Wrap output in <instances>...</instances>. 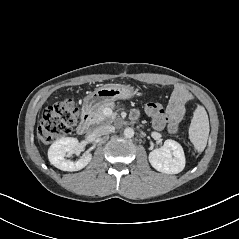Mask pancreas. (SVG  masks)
Listing matches in <instances>:
<instances>
[{
	"label": "pancreas",
	"instance_id": "obj_1",
	"mask_svg": "<svg viewBox=\"0 0 239 239\" xmlns=\"http://www.w3.org/2000/svg\"><path fill=\"white\" fill-rule=\"evenodd\" d=\"M115 106L114 102L106 103L100 106L97 111L94 113L93 120L95 123H111L114 120L115 114L106 116L104 110L107 108L113 109Z\"/></svg>",
	"mask_w": 239,
	"mask_h": 239
}]
</instances>
